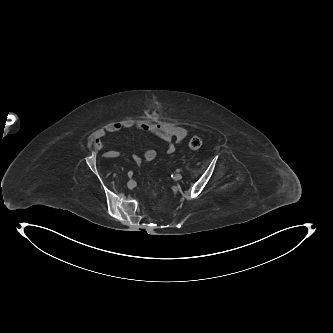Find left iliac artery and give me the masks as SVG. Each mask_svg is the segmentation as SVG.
<instances>
[{
  "label": "left iliac artery",
  "instance_id": "obj_1",
  "mask_svg": "<svg viewBox=\"0 0 333 333\" xmlns=\"http://www.w3.org/2000/svg\"><path fill=\"white\" fill-rule=\"evenodd\" d=\"M181 171V169H177V172H180Z\"/></svg>",
  "mask_w": 333,
  "mask_h": 333
}]
</instances>
